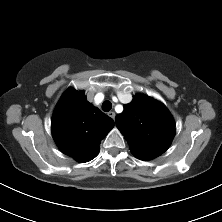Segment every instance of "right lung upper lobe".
Listing matches in <instances>:
<instances>
[{"label": "right lung upper lobe", "instance_id": "cb5924a9", "mask_svg": "<svg viewBox=\"0 0 222 222\" xmlns=\"http://www.w3.org/2000/svg\"><path fill=\"white\" fill-rule=\"evenodd\" d=\"M114 121L89 103L83 91L68 88L52 117V135L59 149L78 162H88L99 152L101 140Z\"/></svg>", "mask_w": 222, "mask_h": 222}]
</instances>
